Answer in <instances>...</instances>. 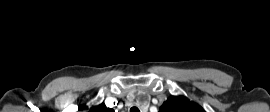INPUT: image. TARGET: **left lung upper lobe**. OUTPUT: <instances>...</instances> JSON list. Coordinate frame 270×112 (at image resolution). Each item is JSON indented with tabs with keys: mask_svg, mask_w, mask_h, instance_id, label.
I'll list each match as a JSON object with an SVG mask.
<instances>
[{
	"mask_svg": "<svg viewBox=\"0 0 270 112\" xmlns=\"http://www.w3.org/2000/svg\"><path fill=\"white\" fill-rule=\"evenodd\" d=\"M159 112H205L198 104L189 101L186 97L172 96L160 107Z\"/></svg>",
	"mask_w": 270,
	"mask_h": 112,
	"instance_id": "obj_1",
	"label": "left lung upper lobe"
}]
</instances>
